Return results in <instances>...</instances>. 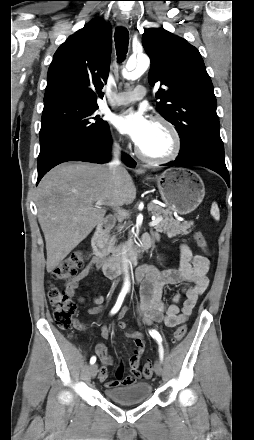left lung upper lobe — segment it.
Returning <instances> with one entry per match:
<instances>
[{
    "label": "left lung upper lobe",
    "mask_w": 254,
    "mask_h": 440,
    "mask_svg": "<svg viewBox=\"0 0 254 440\" xmlns=\"http://www.w3.org/2000/svg\"><path fill=\"white\" fill-rule=\"evenodd\" d=\"M142 44L151 59L149 84L162 86L157 110L176 127L179 154L190 153L203 139L221 140L213 85L197 48L163 28L145 30Z\"/></svg>",
    "instance_id": "obj_1"
}]
</instances>
